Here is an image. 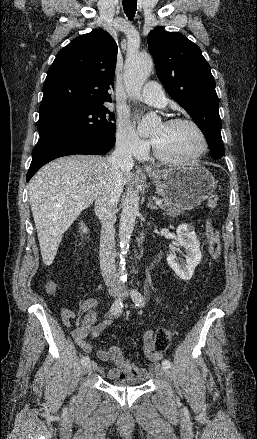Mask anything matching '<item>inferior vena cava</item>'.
<instances>
[{
  "label": "inferior vena cava",
  "mask_w": 257,
  "mask_h": 439,
  "mask_svg": "<svg viewBox=\"0 0 257 439\" xmlns=\"http://www.w3.org/2000/svg\"><path fill=\"white\" fill-rule=\"evenodd\" d=\"M114 174L95 199V213L101 221L100 268L109 288H120L121 282L115 266V209L122 193L121 170L133 167L131 149L118 144L107 158Z\"/></svg>",
  "instance_id": "602c4592"
}]
</instances>
